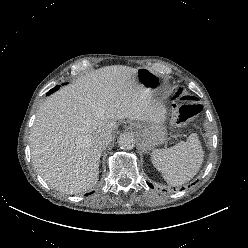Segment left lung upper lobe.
I'll return each mask as SVG.
<instances>
[{
  "label": "left lung upper lobe",
  "instance_id": "obj_1",
  "mask_svg": "<svg viewBox=\"0 0 248 248\" xmlns=\"http://www.w3.org/2000/svg\"><path fill=\"white\" fill-rule=\"evenodd\" d=\"M185 99H196L195 97H185Z\"/></svg>",
  "mask_w": 248,
  "mask_h": 248
}]
</instances>
